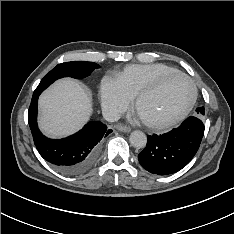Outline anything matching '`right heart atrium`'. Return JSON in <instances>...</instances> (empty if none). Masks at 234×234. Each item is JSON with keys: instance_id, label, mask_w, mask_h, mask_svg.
Returning <instances> with one entry per match:
<instances>
[{"instance_id": "obj_1", "label": "right heart atrium", "mask_w": 234, "mask_h": 234, "mask_svg": "<svg viewBox=\"0 0 234 234\" xmlns=\"http://www.w3.org/2000/svg\"><path fill=\"white\" fill-rule=\"evenodd\" d=\"M100 99L104 111L111 117L125 112L132 99L125 94L116 78L104 77L100 84Z\"/></svg>"}]
</instances>
